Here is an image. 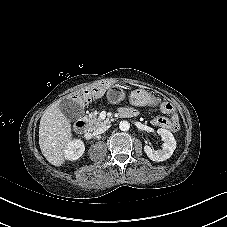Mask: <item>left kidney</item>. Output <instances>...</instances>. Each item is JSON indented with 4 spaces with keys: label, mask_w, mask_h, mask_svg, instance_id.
Wrapping results in <instances>:
<instances>
[{
    "label": "left kidney",
    "mask_w": 227,
    "mask_h": 227,
    "mask_svg": "<svg viewBox=\"0 0 227 227\" xmlns=\"http://www.w3.org/2000/svg\"><path fill=\"white\" fill-rule=\"evenodd\" d=\"M157 132L164 141L162 149L154 150L150 146L145 145L144 151L152 161L161 162L172 156L174 150L176 149V140L173 134L166 129L160 128Z\"/></svg>",
    "instance_id": "left-kidney-1"
}]
</instances>
